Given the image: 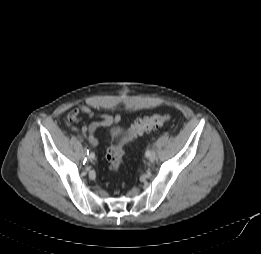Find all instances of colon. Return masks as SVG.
Returning <instances> with one entry per match:
<instances>
[{"instance_id": "1", "label": "colon", "mask_w": 261, "mask_h": 254, "mask_svg": "<svg viewBox=\"0 0 261 254\" xmlns=\"http://www.w3.org/2000/svg\"><path fill=\"white\" fill-rule=\"evenodd\" d=\"M169 121L170 116L163 114H154L137 119L132 124L128 132L121 139H119L116 143L108 148L106 152V159L109 169L113 172H117L120 169V166L122 164L124 146L126 144L145 132L166 125Z\"/></svg>"}]
</instances>
